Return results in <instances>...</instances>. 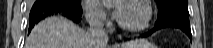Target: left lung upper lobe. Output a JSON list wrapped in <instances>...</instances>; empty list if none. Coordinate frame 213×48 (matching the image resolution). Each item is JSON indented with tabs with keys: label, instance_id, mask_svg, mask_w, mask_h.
I'll list each match as a JSON object with an SVG mask.
<instances>
[{
	"label": "left lung upper lobe",
	"instance_id": "obj_1",
	"mask_svg": "<svg viewBox=\"0 0 213 48\" xmlns=\"http://www.w3.org/2000/svg\"><path fill=\"white\" fill-rule=\"evenodd\" d=\"M158 6V18L167 13H179L189 15L187 0H156Z\"/></svg>",
	"mask_w": 213,
	"mask_h": 48
}]
</instances>
